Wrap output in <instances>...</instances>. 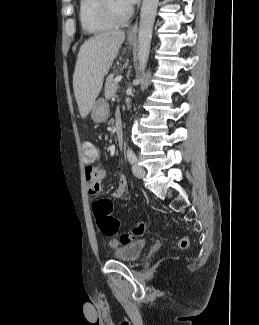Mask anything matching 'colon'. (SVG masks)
Segmentation results:
<instances>
[{"label":"colon","instance_id":"1","mask_svg":"<svg viewBox=\"0 0 259 325\" xmlns=\"http://www.w3.org/2000/svg\"><path fill=\"white\" fill-rule=\"evenodd\" d=\"M98 150L91 141L82 143V157L85 162L94 161L98 157ZM113 203L109 199H100L93 204V214L99 231L106 236H114L120 229V222L113 215ZM146 231V224L138 222L134 225L131 232H124L119 239H113L109 242L111 247L126 245L131 243L136 237L141 236ZM180 249H186L189 246L187 237L180 238L178 242Z\"/></svg>","mask_w":259,"mask_h":325}]
</instances>
